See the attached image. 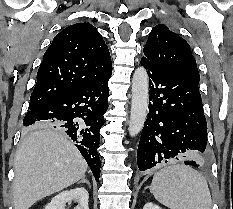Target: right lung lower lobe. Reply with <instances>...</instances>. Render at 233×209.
<instances>
[{
    "label": "right lung lower lobe",
    "mask_w": 233,
    "mask_h": 209,
    "mask_svg": "<svg viewBox=\"0 0 233 209\" xmlns=\"http://www.w3.org/2000/svg\"><path fill=\"white\" fill-rule=\"evenodd\" d=\"M104 75L79 89L60 94L29 110L24 117V126L43 123L53 124L63 130L75 142L88 163L95 179L100 177L99 130L104 124V113L108 109V80Z\"/></svg>",
    "instance_id": "1"
}]
</instances>
